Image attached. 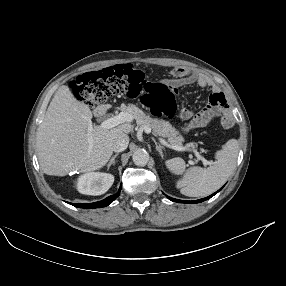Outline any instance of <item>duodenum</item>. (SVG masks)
Segmentation results:
<instances>
[{"label": "duodenum", "mask_w": 286, "mask_h": 286, "mask_svg": "<svg viewBox=\"0 0 286 286\" xmlns=\"http://www.w3.org/2000/svg\"><path fill=\"white\" fill-rule=\"evenodd\" d=\"M106 112H107V107L105 106L98 107L95 111L98 117H103L106 114Z\"/></svg>", "instance_id": "obj_1"}]
</instances>
